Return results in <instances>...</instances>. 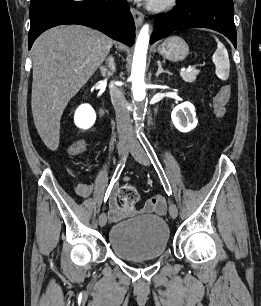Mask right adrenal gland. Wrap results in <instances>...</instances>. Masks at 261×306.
Listing matches in <instances>:
<instances>
[{
	"mask_svg": "<svg viewBox=\"0 0 261 306\" xmlns=\"http://www.w3.org/2000/svg\"><path fill=\"white\" fill-rule=\"evenodd\" d=\"M99 69L101 71L102 76H105L108 72V70L105 66H100ZM112 71H114V65H112Z\"/></svg>",
	"mask_w": 261,
	"mask_h": 306,
	"instance_id": "right-adrenal-gland-1",
	"label": "right adrenal gland"
}]
</instances>
